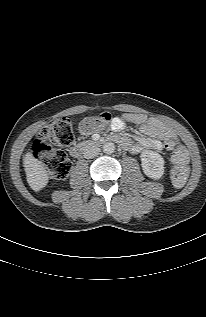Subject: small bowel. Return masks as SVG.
Returning <instances> with one entry per match:
<instances>
[{
	"label": "small bowel",
	"instance_id": "obj_1",
	"mask_svg": "<svg viewBox=\"0 0 206 317\" xmlns=\"http://www.w3.org/2000/svg\"><path fill=\"white\" fill-rule=\"evenodd\" d=\"M127 123H133L139 127L142 136L137 138V144L124 137L122 146L132 152H140L146 149L161 150L164 143L175 141L176 136L173 131L159 120L149 118L142 113H124L114 117L110 127L113 131L123 130Z\"/></svg>",
	"mask_w": 206,
	"mask_h": 317
}]
</instances>
